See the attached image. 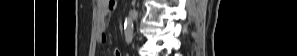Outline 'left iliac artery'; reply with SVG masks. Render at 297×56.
<instances>
[{"mask_svg": "<svg viewBox=\"0 0 297 56\" xmlns=\"http://www.w3.org/2000/svg\"><path fill=\"white\" fill-rule=\"evenodd\" d=\"M126 41H127L128 43H130V42L132 41V35H127V36H126Z\"/></svg>", "mask_w": 297, "mask_h": 56, "instance_id": "1", "label": "left iliac artery"}]
</instances>
